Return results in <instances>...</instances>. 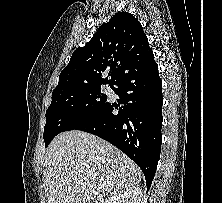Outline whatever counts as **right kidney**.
<instances>
[{
    "mask_svg": "<svg viewBox=\"0 0 222 203\" xmlns=\"http://www.w3.org/2000/svg\"><path fill=\"white\" fill-rule=\"evenodd\" d=\"M142 191L138 186H130L107 203H142Z\"/></svg>",
    "mask_w": 222,
    "mask_h": 203,
    "instance_id": "ca27d5eb",
    "label": "right kidney"
}]
</instances>
